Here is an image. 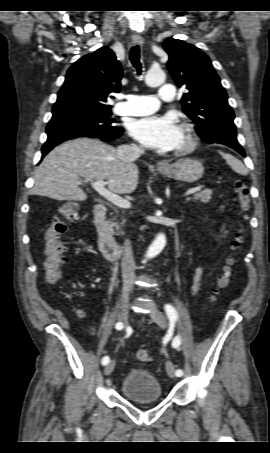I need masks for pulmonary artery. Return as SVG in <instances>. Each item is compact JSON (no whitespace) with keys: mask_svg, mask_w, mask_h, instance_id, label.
Segmentation results:
<instances>
[{"mask_svg":"<svg viewBox=\"0 0 270 453\" xmlns=\"http://www.w3.org/2000/svg\"><path fill=\"white\" fill-rule=\"evenodd\" d=\"M175 95V88L173 85H163L158 91L160 99L165 101L173 100ZM125 102L120 103L116 108L115 112L119 115H145L150 114L158 109L159 101L158 98L152 95H134L129 94L125 96Z\"/></svg>","mask_w":270,"mask_h":453,"instance_id":"1","label":"pulmonary artery"}]
</instances>
